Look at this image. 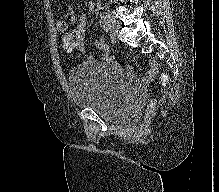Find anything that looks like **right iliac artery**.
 Here are the masks:
<instances>
[{
  "mask_svg": "<svg viewBox=\"0 0 219 192\" xmlns=\"http://www.w3.org/2000/svg\"><path fill=\"white\" fill-rule=\"evenodd\" d=\"M99 25L102 29H104L107 33H110L111 32V27L108 23V21L106 20V16L105 14L103 13L101 15V18L99 20Z\"/></svg>",
  "mask_w": 219,
  "mask_h": 192,
  "instance_id": "1",
  "label": "right iliac artery"
}]
</instances>
